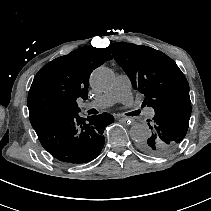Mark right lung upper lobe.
I'll use <instances>...</instances> for the list:
<instances>
[{
    "instance_id": "cb5924a9",
    "label": "right lung upper lobe",
    "mask_w": 211,
    "mask_h": 211,
    "mask_svg": "<svg viewBox=\"0 0 211 211\" xmlns=\"http://www.w3.org/2000/svg\"><path fill=\"white\" fill-rule=\"evenodd\" d=\"M111 59L105 48L91 46L56 58L41 68L27 101L33 128L79 112L76 100L87 99L91 72Z\"/></svg>"
}]
</instances>
